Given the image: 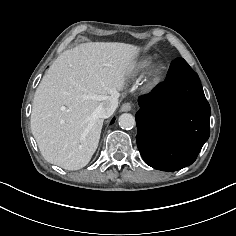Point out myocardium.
I'll return each instance as SVG.
<instances>
[{"label":"myocardium","mask_w":236,"mask_h":236,"mask_svg":"<svg viewBox=\"0 0 236 236\" xmlns=\"http://www.w3.org/2000/svg\"><path fill=\"white\" fill-rule=\"evenodd\" d=\"M166 73V67L163 64L154 66L144 80V90L152 92L156 90L163 82Z\"/></svg>","instance_id":"obj_1"}]
</instances>
